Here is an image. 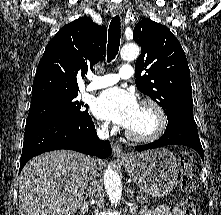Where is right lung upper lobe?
Here are the masks:
<instances>
[{
	"label": "right lung upper lobe",
	"instance_id": "1",
	"mask_svg": "<svg viewBox=\"0 0 221 215\" xmlns=\"http://www.w3.org/2000/svg\"><path fill=\"white\" fill-rule=\"evenodd\" d=\"M107 42L106 26L90 18H78L62 27L47 44L38 64L32 87V101L54 94L79 91L78 72L103 57Z\"/></svg>",
	"mask_w": 221,
	"mask_h": 215
}]
</instances>
